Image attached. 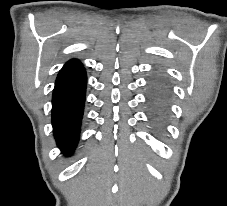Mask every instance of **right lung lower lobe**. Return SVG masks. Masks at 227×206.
Segmentation results:
<instances>
[{"label": "right lung lower lobe", "mask_w": 227, "mask_h": 206, "mask_svg": "<svg viewBox=\"0 0 227 206\" xmlns=\"http://www.w3.org/2000/svg\"><path fill=\"white\" fill-rule=\"evenodd\" d=\"M87 77L83 65L76 59L60 70L53 90L52 125L62 153L75 149L83 115Z\"/></svg>", "instance_id": "obj_1"}]
</instances>
